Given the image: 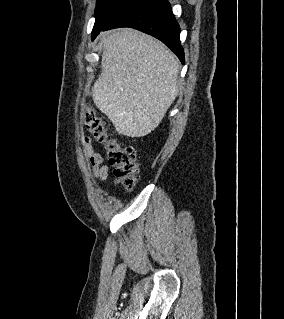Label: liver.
I'll return each mask as SVG.
<instances>
[{
    "instance_id": "1",
    "label": "liver",
    "mask_w": 284,
    "mask_h": 319,
    "mask_svg": "<svg viewBox=\"0 0 284 319\" xmlns=\"http://www.w3.org/2000/svg\"><path fill=\"white\" fill-rule=\"evenodd\" d=\"M100 39L101 74L92 87L95 105L119 134L151 133L178 94L175 55L157 39L131 29L103 32Z\"/></svg>"
}]
</instances>
